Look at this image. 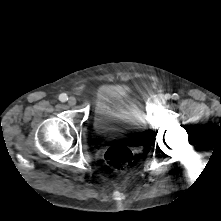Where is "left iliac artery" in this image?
<instances>
[{
  "label": "left iliac artery",
  "instance_id": "1",
  "mask_svg": "<svg viewBox=\"0 0 221 221\" xmlns=\"http://www.w3.org/2000/svg\"><path fill=\"white\" fill-rule=\"evenodd\" d=\"M166 98L169 99V98H170V95L167 94V95H166ZM172 98L176 100V99L179 98V96H178V94L174 93L173 96H172Z\"/></svg>",
  "mask_w": 221,
  "mask_h": 221
}]
</instances>
